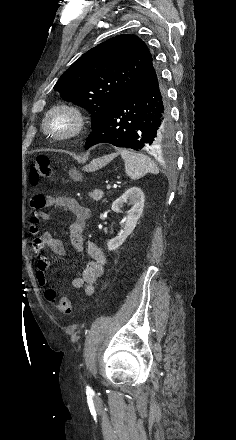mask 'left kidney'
Listing matches in <instances>:
<instances>
[{"mask_svg":"<svg viewBox=\"0 0 236 440\" xmlns=\"http://www.w3.org/2000/svg\"><path fill=\"white\" fill-rule=\"evenodd\" d=\"M145 202V195L139 187H131L126 190L121 197H119L112 204V210L115 213L121 212L122 208L127 204L131 208L125 213L123 217L124 231L122 234L107 242L108 250L112 251L119 248L127 239V237L135 229L139 218L143 212Z\"/></svg>","mask_w":236,"mask_h":440,"instance_id":"1","label":"left kidney"}]
</instances>
